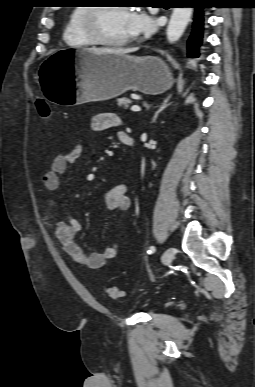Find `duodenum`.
<instances>
[{
	"instance_id": "duodenum-1",
	"label": "duodenum",
	"mask_w": 255,
	"mask_h": 387,
	"mask_svg": "<svg viewBox=\"0 0 255 387\" xmlns=\"http://www.w3.org/2000/svg\"><path fill=\"white\" fill-rule=\"evenodd\" d=\"M119 138H120V141L125 145L132 146L134 143L133 137L127 134L126 132H122L119 135Z\"/></svg>"
}]
</instances>
